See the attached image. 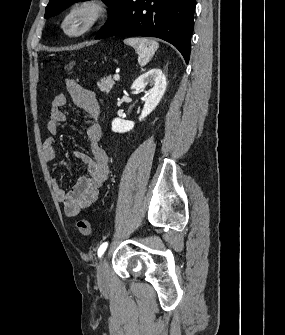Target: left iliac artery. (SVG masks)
Listing matches in <instances>:
<instances>
[{
  "label": "left iliac artery",
  "mask_w": 285,
  "mask_h": 335,
  "mask_svg": "<svg viewBox=\"0 0 285 335\" xmlns=\"http://www.w3.org/2000/svg\"><path fill=\"white\" fill-rule=\"evenodd\" d=\"M107 246H108V243L105 242V243H103V244L99 247V249H98V257H101V256L103 255V253L105 252Z\"/></svg>",
  "instance_id": "44dca946"
}]
</instances>
